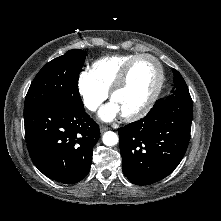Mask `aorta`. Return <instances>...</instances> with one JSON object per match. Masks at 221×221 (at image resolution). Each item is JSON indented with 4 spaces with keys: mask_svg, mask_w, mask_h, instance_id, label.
I'll return each instance as SVG.
<instances>
[{
    "mask_svg": "<svg viewBox=\"0 0 221 221\" xmlns=\"http://www.w3.org/2000/svg\"><path fill=\"white\" fill-rule=\"evenodd\" d=\"M102 141L106 146H114L118 143V136L112 131H107L103 134Z\"/></svg>",
    "mask_w": 221,
    "mask_h": 221,
    "instance_id": "762f6f07",
    "label": "aorta"
}]
</instances>
